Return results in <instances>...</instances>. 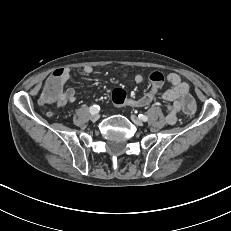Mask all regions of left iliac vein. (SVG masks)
<instances>
[{
  "mask_svg": "<svg viewBox=\"0 0 231 231\" xmlns=\"http://www.w3.org/2000/svg\"><path fill=\"white\" fill-rule=\"evenodd\" d=\"M131 120L138 126H141L143 124L142 120L136 115H131Z\"/></svg>",
  "mask_w": 231,
  "mask_h": 231,
  "instance_id": "left-iliac-vein-1",
  "label": "left iliac vein"
}]
</instances>
